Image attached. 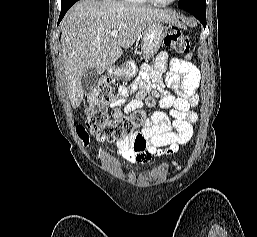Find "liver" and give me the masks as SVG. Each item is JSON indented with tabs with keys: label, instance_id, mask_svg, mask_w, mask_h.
<instances>
[{
	"label": "liver",
	"instance_id": "obj_1",
	"mask_svg": "<svg viewBox=\"0 0 257 237\" xmlns=\"http://www.w3.org/2000/svg\"><path fill=\"white\" fill-rule=\"evenodd\" d=\"M155 21L177 23L167 10L154 9L115 0H80L66 13L61 23L62 59L68 96L72 107L84 97L81 78L89 68L99 74L113 65ZM118 35L111 37L110 32Z\"/></svg>",
	"mask_w": 257,
	"mask_h": 237
}]
</instances>
